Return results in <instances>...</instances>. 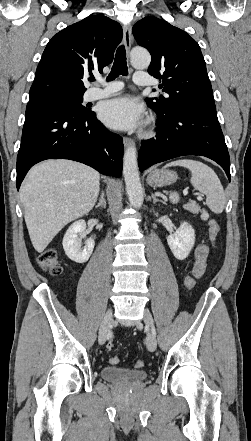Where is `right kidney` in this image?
Listing matches in <instances>:
<instances>
[{
    "instance_id": "obj_1",
    "label": "right kidney",
    "mask_w": 251,
    "mask_h": 441,
    "mask_svg": "<svg viewBox=\"0 0 251 441\" xmlns=\"http://www.w3.org/2000/svg\"><path fill=\"white\" fill-rule=\"evenodd\" d=\"M85 230L86 222L78 220L68 228L63 238L62 244L65 254L76 263L88 261L94 249L95 242L92 238L87 239L85 247L81 249L80 238L85 237Z\"/></svg>"
}]
</instances>
